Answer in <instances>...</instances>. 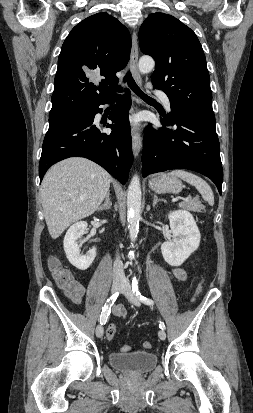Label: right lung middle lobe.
I'll list each match as a JSON object with an SVG mask.
<instances>
[{"instance_id":"right-lung-middle-lobe-1","label":"right lung middle lobe","mask_w":253,"mask_h":413,"mask_svg":"<svg viewBox=\"0 0 253 413\" xmlns=\"http://www.w3.org/2000/svg\"><path fill=\"white\" fill-rule=\"evenodd\" d=\"M83 113H84V110L70 113V114L49 117V127L79 118L83 115Z\"/></svg>"}]
</instances>
